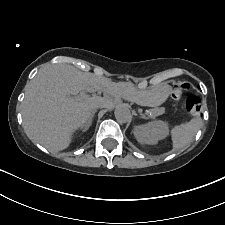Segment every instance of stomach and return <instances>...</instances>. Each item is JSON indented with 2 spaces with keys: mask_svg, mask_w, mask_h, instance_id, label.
Returning a JSON list of instances; mask_svg holds the SVG:
<instances>
[{
  "mask_svg": "<svg viewBox=\"0 0 225 225\" xmlns=\"http://www.w3.org/2000/svg\"><path fill=\"white\" fill-rule=\"evenodd\" d=\"M168 95L169 87L163 86L146 94L143 100L146 106L157 107L167 99Z\"/></svg>",
  "mask_w": 225,
  "mask_h": 225,
  "instance_id": "obj_1",
  "label": "stomach"
}]
</instances>
